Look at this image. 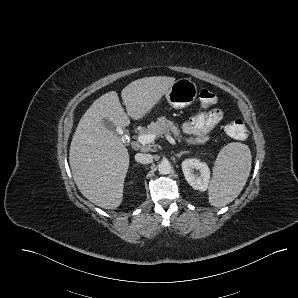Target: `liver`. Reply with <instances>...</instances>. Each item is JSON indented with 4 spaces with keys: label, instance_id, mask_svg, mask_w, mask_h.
I'll return each mask as SVG.
<instances>
[{
    "label": "liver",
    "instance_id": "1",
    "mask_svg": "<svg viewBox=\"0 0 298 298\" xmlns=\"http://www.w3.org/2000/svg\"><path fill=\"white\" fill-rule=\"evenodd\" d=\"M173 77L151 76L137 79L123 88L121 97L110 91L98 99L81 117L69 150V163L80 192L99 207L119 206L129 167V153L121 138L105 128L107 117L116 126H127L157 104L169 89Z\"/></svg>",
    "mask_w": 298,
    "mask_h": 298
}]
</instances>
